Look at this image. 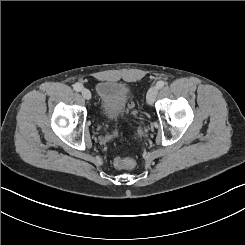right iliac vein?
Here are the masks:
<instances>
[{
    "instance_id": "1",
    "label": "right iliac vein",
    "mask_w": 245,
    "mask_h": 245,
    "mask_svg": "<svg viewBox=\"0 0 245 245\" xmlns=\"http://www.w3.org/2000/svg\"><path fill=\"white\" fill-rule=\"evenodd\" d=\"M81 93L85 99H87V100L91 99V93L88 89H82Z\"/></svg>"
}]
</instances>
